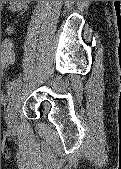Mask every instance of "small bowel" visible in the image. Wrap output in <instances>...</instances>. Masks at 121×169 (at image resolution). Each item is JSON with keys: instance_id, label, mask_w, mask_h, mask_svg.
<instances>
[{"instance_id": "c3829d8e", "label": "small bowel", "mask_w": 121, "mask_h": 169, "mask_svg": "<svg viewBox=\"0 0 121 169\" xmlns=\"http://www.w3.org/2000/svg\"><path fill=\"white\" fill-rule=\"evenodd\" d=\"M14 4H13V7L15 9H19V8H22L24 6H26L27 4H29L31 1H12Z\"/></svg>"}]
</instances>
